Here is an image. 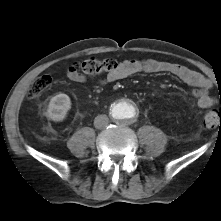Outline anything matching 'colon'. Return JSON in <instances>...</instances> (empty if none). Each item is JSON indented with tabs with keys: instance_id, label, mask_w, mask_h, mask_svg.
Wrapping results in <instances>:
<instances>
[{
	"instance_id": "1",
	"label": "colon",
	"mask_w": 221,
	"mask_h": 221,
	"mask_svg": "<svg viewBox=\"0 0 221 221\" xmlns=\"http://www.w3.org/2000/svg\"><path fill=\"white\" fill-rule=\"evenodd\" d=\"M119 65V62L112 58H88L77 63L75 68L89 77H95L110 74L116 71ZM52 82V78L47 75L37 78L29 87L28 96L31 98L40 96L51 87ZM201 122L208 129L221 126V112L213 109L208 110L202 116Z\"/></svg>"
}]
</instances>
